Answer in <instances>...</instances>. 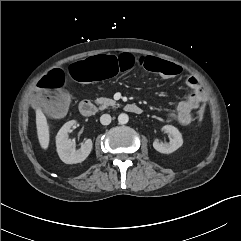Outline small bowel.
<instances>
[{"instance_id":"obj_1","label":"small bowel","mask_w":241,"mask_h":241,"mask_svg":"<svg viewBox=\"0 0 241 241\" xmlns=\"http://www.w3.org/2000/svg\"><path fill=\"white\" fill-rule=\"evenodd\" d=\"M187 85L193 92L184 100L180 101L173 117L181 125H189L192 122V111L200 106L206 100V91L201 86L198 78L189 76L186 79Z\"/></svg>"}]
</instances>
